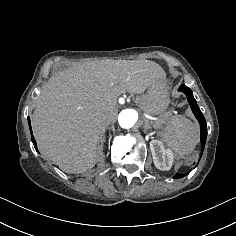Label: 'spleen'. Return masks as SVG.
Here are the masks:
<instances>
[{"label": "spleen", "mask_w": 236, "mask_h": 236, "mask_svg": "<svg viewBox=\"0 0 236 236\" xmlns=\"http://www.w3.org/2000/svg\"><path fill=\"white\" fill-rule=\"evenodd\" d=\"M163 140L180 155L191 154L199 141V127L184 117L172 118L164 128Z\"/></svg>", "instance_id": "1"}]
</instances>
